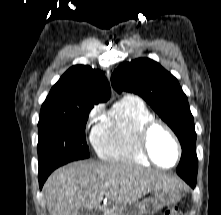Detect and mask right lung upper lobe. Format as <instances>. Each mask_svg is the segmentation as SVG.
Masks as SVG:
<instances>
[{
  "mask_svg": "<svg viewBox=\"0 0 221 215\" xmlns=\"http://www.w3.org/2000/svg\"><path fill=\"white\" fill-rule=\"evenodd\" d=\"M109 97L110 87L102 71L75 65L52 87L43 105L98 104Z\"/></svg>",
  "mask_w": 221,
  "mask_h": 215,
  "instance_id": "cb5924a9",
  "label": "right lung upper lobe"
}]
</instances>
